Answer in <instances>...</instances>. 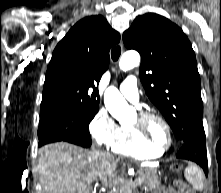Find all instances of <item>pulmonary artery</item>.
<instances>
[{
    "instance_id": "e3ab8cb5",
    "label": "pulmonary artery",
    "mask_w": 221,
    "mask_h": 193,
    "mask_svg": "<svg viewBox=\"0 0 221 193\" xmlns=\"http://www.w3.org/2000/svg\"><path fill=\"white\" fill-rule=\"evenodd\" d=\"M119 90L121 94L131 102L137 103L139 100V93L137 88V80L134 75L127 76L120 84Z\"/></svg>"
}]
</instances>
